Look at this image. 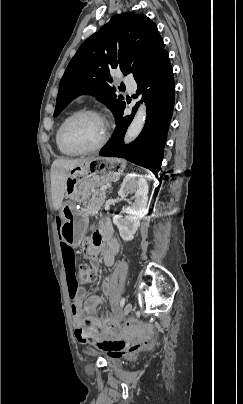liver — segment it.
Masks as SVG:
<instances>
[{
  "label": "liver",
  "mask_w": 243,
  "mask_h": 404,
  "mask_svg": "<svg viewBox=\"0 0 243 404\" xmlns=\"http://www.w3.org/2000/svg\"><path fill=\"white\" fill-rule=\"evenodd\" d=\"M92 158H80V160H70V158H60L54 160L51 166V192L54 210H59L65 194V180L68 170L76 168L79 164L91 162Z\"/></svg>",
  "instance_id": "6515ba94"
}]
</instances>
